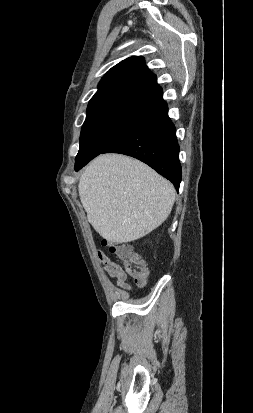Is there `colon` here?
Returning a JSON list of instances; mask_svg holds the SVG:
<instances>
[{
  "mask_svg": "<svg viewBox=\"0 0 253 413\" xmlns=\"http://www.w3.org/2000/svg\"><path fill=\"white\" fill-rule=\"evenodd\" d=\"M112 254L116 255L124 265L127 275L139 285H144L148 279V269L144 260L126 243H110L103 241Z\"/></svg>",
  "mask_w": 253,
  "mask_h": 413,
  "instance_id": "obj_1",
  "label": "colon"
}]
</instances>
